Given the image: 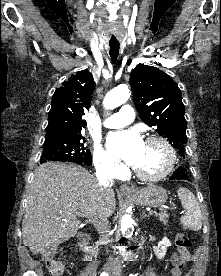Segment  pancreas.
I'll return each instance as SVG.
<instances>
[{
  "label": "pancreas",
  "instance_id": "pancreas-1",
  "mask_svg": "<svg viewBox=\"0 0 221 276\" xmlns=\"http://www.w3.org/2000/svg\"><path fill=\"white\" fill-rule=\"evenodd\" d=\"M156 216L159 218V220H160L163 224H165V225L168 224V220H167L168 215H167L166 213H159V214H156Z\"/></svg>",
  "mask_w": 221,
  "mask_h": 276
}]
</instances>
